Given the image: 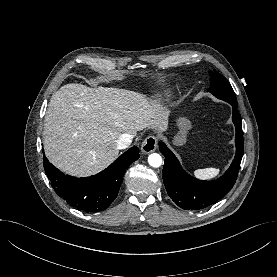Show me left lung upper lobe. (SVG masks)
<instances>
[{"label": "left lung upper lobe", "instance_id": "1", "mask_svg": "<svg viewBox=\"0 0 277 277\" xmlns=\"http://www.w3.org/2000/svg\"><path fill=\"white\" fill-rule=\"evenodd\" d=\"M210 89L209 92L218 99L224 100L231 105H237V99L231 85L226 78L215 71H209Z\"/></svg>", "mask_w": 277, "mask_h": 277}]
</instances>
